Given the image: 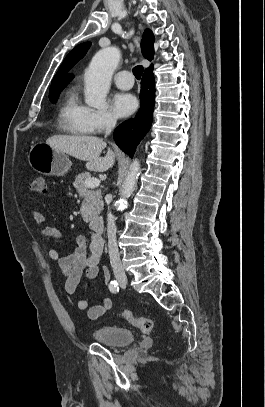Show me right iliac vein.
<instances>
[{
	"instance_id": "1",
	"label": "right iliac vein",
	"mask_w": 265,
	"mask_h": 407,
	"mask_svg": "<svg viewBox=\"0 0 265 407\" xmlns=\"http://www.w3.org/2000/svg\"><path fill=\"white\" fill-rule=\"evenodd\" d=\"M118 282L120 283V284H126L127 283V279L126 278H119L118 279Z\"/></svg>"
}]
</instances>
